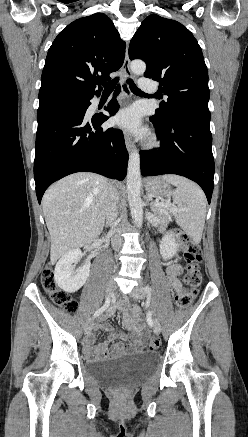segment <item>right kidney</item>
<instances>
[{"label": "right kidney", "instance_id": "ca27d5eb", "mask_svg": "<svg viewBox=\"0 0 248 437\" xmlns=\"http://www.w3.org/2000/svg\"><path fill=\"white\" fill-rule=\"evenodd\" d=\"M81 259L80 249H74L63 255L57 262L54 271L56 284L67 293H75L87 281L90 273V262L74 271V264Z\"/></svg>", "mask_w": 248, "mask_h": 437}]
</instances>
